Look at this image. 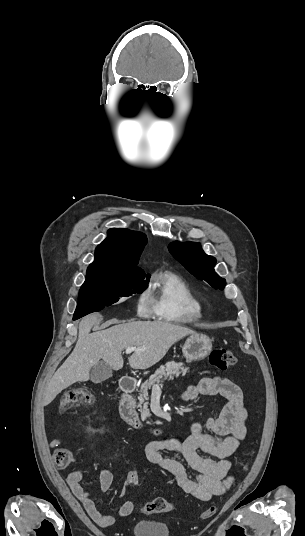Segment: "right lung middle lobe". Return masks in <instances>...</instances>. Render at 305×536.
Here are the masks:
<instances>
[{
  "label": "right lung middle lobe",
  "instance_id": "1",
  "mask_svg": "<svg viewBox=\"0 0 305 536\" xmlns=\"http://www.w3.org/2000/svg\"><path fill=\"white\" fill-rule=\"evenodd\" d=\"M149 277L134 279L86 278L79 291L74 316L81 318L91 312L110 306L119 299L140 294L148 287Z\"/></svg>",
  "mask_w": 305,
  "mask_h": 536
}]
</instances>
